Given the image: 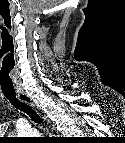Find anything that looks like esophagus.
<instances>
[{
    "mask_svg": "<svg viewBox=\"0 0 125 143\" xmlns=\"http://www.w3.org/2000/svg\"><path fill=\"white\" fill-rule=\"evenodd\" d=\"M17 96L20 101L30 105L39 114V116L49 124V129L53 134L56 133L55 126L51 124V121L47 118L42 109L36 105L35 102L26 93H19Z\"/></svg>",
    "mask_w": 125,
    "mask_h": 143,
    "instance_id": "esophagus-1",
    "label": "esophagus"
}]
</instances>
